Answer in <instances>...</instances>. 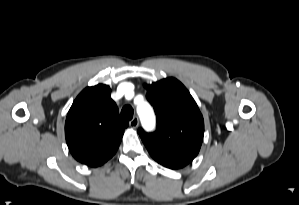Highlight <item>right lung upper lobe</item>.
I'll return each mask as SVG.
<instances>
[{"label": "right lung upper lobe", "mask_w": 299, "mask_h": 205, "mask_svg": "<svg viewBox=\"0 0 299 205\" xmlns=\"http://www.w3.org/2000/svg\"><path fill=\"white\" fill-rule=\"evenodd\" d=\"M104 84L85 88L73 102L65 123L69 150L80 163L98 167L117 151L128 123Z\"/></svg>", "instance_id": "right-lung-upper-lobe-1"}]
</instances>
